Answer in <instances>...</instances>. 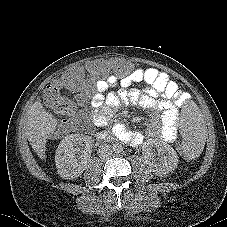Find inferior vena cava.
<instances>
[{"mask_svg": "<svg viewBox=\"0 0 227 227\" xmlns=\"http://www.w3.org/2000/svg\"><path fill=\"white\" fill-rule=\"evenodd\" d=\"M112 148L109 144H102L98 148V155L100 158H108L112 155Z\"/></svg>", "mask_w": 227, "mask_h": 227, "instance_id": "602c4592", "label": "inferior vena cava"}]
</instances>
